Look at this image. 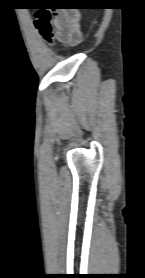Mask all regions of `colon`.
Segmentation results:
<instances>
[{"label":"colon","mask_w":145,"mask_h":278,"mask_svg":"<svg viewBox=\"0 0 145 278\" xmlns=\"http://www.w3.org/2000/svg\"><path fill=\"white\" fill-rule=\"evenodd\" d=\"M64 1L65 2H63L62 4L56 6H40L35 13L36 28L40 32L41 36L46 40H50L55 29V19L52 12L54 8L78 11H83L85 10V8H88V6L84 3H74L70 2V0ZM71 27H74V25H71Z\"/></svg>","instance_id":"5ec220e1"}]
</instances>
